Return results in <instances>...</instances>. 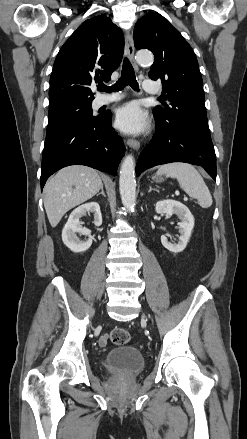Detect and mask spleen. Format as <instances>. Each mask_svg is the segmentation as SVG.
I'll return each mask as SVG.
<instances>
[{"label":"spleen","mask_w":247,"mask_h":439,"mask_svg":"<svg viewBox=\"0 0 247 439\" xmlns=\"http://www.w3.org/2000/svg\"><path fill=\"white\" fill-rule=\"evenodd\" d=\"M162 174L176 178L180 187L190 197L197 199L202 208H209L212 205L210 191L194 166L182 162L168 163L158 168L157 175Z\"/></svg>","instance_id":"spleen-1"}]
</instances>
